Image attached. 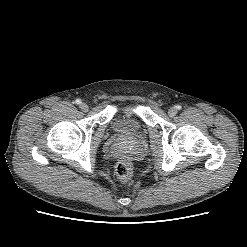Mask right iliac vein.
I'll use <instances>...</instances> for the list:
<instances>
[{
    "label": "right iliac vein",
    "mask_w": 247,
    "mask_h": 247,
    "mask_svg": "<svg viewBox=\"0 0 247 247\" xmlns=\"http://www.w3.org/2000/svg\"><path fill=\"white\" fill-rule=\"evenodd\" d=\"M79 108L84 111V112H87L88 109H89V106L86 104V103H80L79 104Z\"/></svg>",
    "instance_id": "63e3f726"
}]
</instances>
